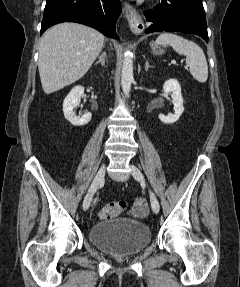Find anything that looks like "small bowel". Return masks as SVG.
I'll return each mask as SVG.
<instances>
[{
	"label": "small bowel",
	"instance_id": "small-bowel-1",
	"mask_svg": "<svg viewBox=\"0 0 240 287\" xmlns=\"http://www.w3.org/2000/svg\"><path fill=\"white\" fill-rule=\"evenodd\" d=\"M133 212L136 215H145L148 212V204L143 197H137L134 199Z\"/></svg>",
	"mask_w": 240,
	"mask_h": 287
}]
</instances>
